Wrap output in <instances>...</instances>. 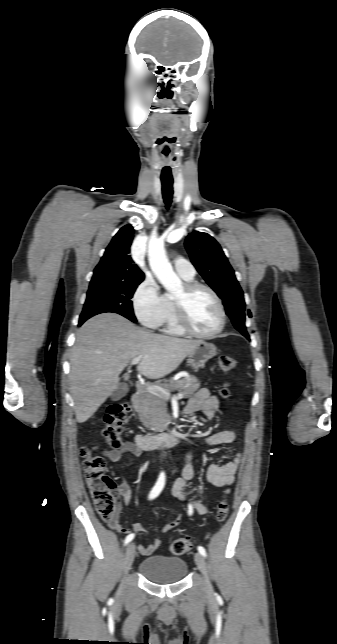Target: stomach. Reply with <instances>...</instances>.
Returning <instances> with one entry per match:
<instances>
[{
    "label": "stomach",
    "mask_w": 337,
    "mask_h": 644,
    "mask_svg": "<svg viewBox=\"0 0 337 644\" xmlns=\"http://www.w3.org/2000/svg\"><path fill=\"white\" fill-rule=\"evenodd\" d=\"M217 354L214 344L200 341L197 348L188 355V362L194 369L203 368L205 363Z\"/></svg>",
    "instance_id": "1"
}]
</instances>
